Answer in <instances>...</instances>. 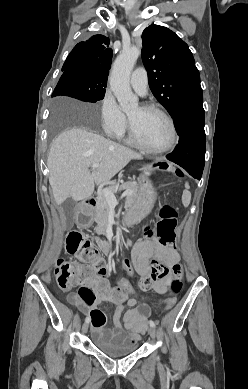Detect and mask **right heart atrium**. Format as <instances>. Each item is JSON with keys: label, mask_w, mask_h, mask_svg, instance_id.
I'll return each instance as SVG.
<instances>
[{"label": "right heart atrium", "mask_w": 248, "mask_h": 389, "mask_svg": "<svg viewBox=\"0 0 248 389\" xmlns=\"http://www.w3.org/2000/svg\"><path fill=\"white\" fill-rule=\"evenodd\" d=\"M100 119L104 132L118 137L127 126V117L120 109L115 97L107 91L100 102Z\"/></svg>", "instance_id": "right-heart-atrium-1"}]
</instances>
